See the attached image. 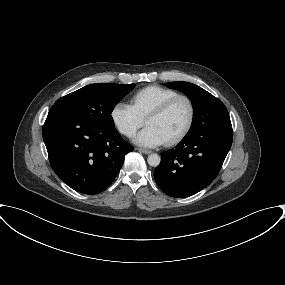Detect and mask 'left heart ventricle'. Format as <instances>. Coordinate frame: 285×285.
Instances as JSON below:
<instances>
[{"mask_svg": "<svg viewBox=\"0 0 285 285\" xmlns=\"http://www.w3.org/2000/svg\"><path fill=\"white\" fill-rule=\"evenodd\" d=\"M187 118V104L184 101H178L165 114L149 118L146 125L156 128L166 141L184 127Z\"/></svg>", "mask_w": 285, "mask_h": 285, "instance_id": "b2bd125f", "label": "left heart ventricle"}]
</instances>
